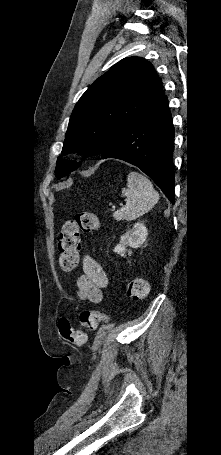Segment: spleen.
Returning a JSON list of instances; mask_svg holds the SVG:
<instances>
[{"label":"spleen","mask_w":221,"mask_h":455,"mask_svg":"<svg viewBox=\"0 0 221 455\" xmlns=\"http://www.w3.org/2000/svg\"><path fill=\"white\" fill-rule=\"evenodd\" d=\"M127 198L125 207L113 213L117 221H133L151 210L159 200V194L151 181L145 176L132 171L127 177V189L122 190Z\"/></svg>","instance_id":"3e777b00"}]
</instances>
